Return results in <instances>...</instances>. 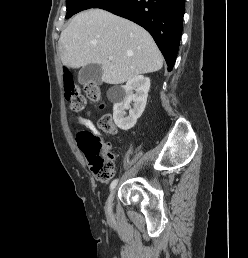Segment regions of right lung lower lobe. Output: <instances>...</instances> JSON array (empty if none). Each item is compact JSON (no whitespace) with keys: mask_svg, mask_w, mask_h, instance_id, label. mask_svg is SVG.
Listing matches in <instances>:
<instances>
[{"mask_svg":"<svg viewBox=\"0 0 248 258\" xmlns=\"http://www.w3.org/2000/svg\"><path fill=\"white\" fill-rule=\"evenodd\" d=\"M96 8L127 18L145 28L161 50L168 71L178 52L185 0H110Z\"/></svg>","mask_w":248,"mask_h":258,"instance_id":"right-lung-lower-lobe-1","label":"right lung lower lobe"}]
</instances>
